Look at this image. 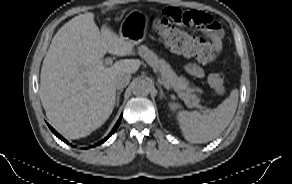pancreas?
<instances>
[{
    "mask_svg": "<svg viewBox=\"0 0 292 184\" xmlns=\"http://www.w3.org/2000/svg\"><path fill=\"white\" fill-rule=\"evenodd\" d=\"M138 53L150 66L153 67L155 72H159L161 80L166 86L184 94V98L189 101L187 103L189 107L198 105L199 99L194 94L195 89L188 87L189 82L186 78L178 77L172 70L171 66L164 59H159L153 51L148 49V47L142 45L139 47ZM196 90L200 91V89Z\"/></svg>",
    "mask_w": 292,
    "mask_h": 184,
    "instance_id": "obj_1",
    "label": "pancreas"
}]
</instances>
